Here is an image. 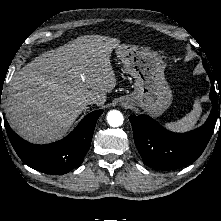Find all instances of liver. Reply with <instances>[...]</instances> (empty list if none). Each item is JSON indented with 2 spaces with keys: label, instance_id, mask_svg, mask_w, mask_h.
<instances>
[{
  "label": "liver",
  "instance_id": "obj_1",
  "mask_svg": "<svg viewBox=\"0 0 221 221\" xmlns=\"http://www.w3.org/2000/svg\"><path fill=\"white\" fill-rule=\"evenodd\" d=\"M119 43L106 36H80L25 65L8 89L5 111L11 127L33 143L65 135L87 98L102 106L116 86L110 57Z\"/></svg>",
  "mask_w": 221,
  "mask_h": 221
}]
</instances>
